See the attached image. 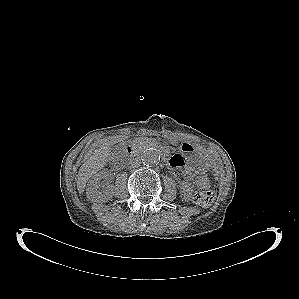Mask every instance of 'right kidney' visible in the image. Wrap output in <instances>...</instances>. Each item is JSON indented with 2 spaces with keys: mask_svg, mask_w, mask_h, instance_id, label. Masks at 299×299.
<instances>
[{
  "mask_svg": "<svg viewBox=\"0 0 299 299\" xmlns=\"http://www.w3.org/2000/svg\"><path fill=\"white\" fill-rule=\"evenodd\" d=\"M106 171H99L89 180L86 189L87 198L92 202H107L112 198L113 186L108 182L100 181L107 177Z\"/></svg>",
  "mask_w": 299,
  "mask_h": 299,
  "instance_id": "1",
  "label": "right kidney"
}]
</instances>
